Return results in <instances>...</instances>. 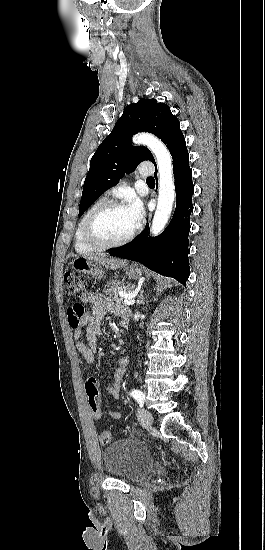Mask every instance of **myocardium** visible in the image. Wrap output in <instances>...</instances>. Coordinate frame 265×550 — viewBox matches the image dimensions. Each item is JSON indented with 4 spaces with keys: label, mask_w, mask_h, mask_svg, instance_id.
I'll list each match as a JSON object with an SVG mask.
<instances>
[{
    "label": "myocardium",
    "mask_w": 265,
    "mask_h": 550,
    "mask_svg": "<svg viewBox=\"0 0 265 550\" xmlns=\"http://www.w3.org/2000/svg\"><path fill=\"white\" fill-rule=\"evenodd\" d=\"M125 207L126 205L123 202H119L115 200L106 201L103 204L96 207L87 216L83 225V237L85 241L89 245L97 249H110V248L120 247L129 243L137 234L139 230V225L136 226L135 229L131 231L126 237L117 241H105L101 239L94 231V224L101 215H103L104 213L110 210L120 209Z\"/></svg>",
    "instance_id": "obj_1"
}]
</instances>
